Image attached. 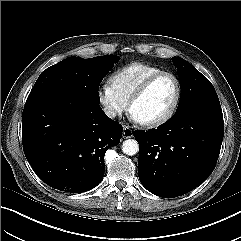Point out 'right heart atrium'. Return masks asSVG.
I'll list each match as a JSON object with an SVG mask.
<instances>
[{"mask_svg": "<svg viewBox=\"0 0 241 241\" xmlns=\"http://www.w3.org/2000/svg\"><path fill=\"white\" fill-rule=\"evenodd\" d=\"M97 97L104 113L111 119L120 117L128 109V102L118 94L111 83L102 84L98 88Z\"/></svg>", "mask_w": 241, "mask_h": 241, "instance_id": "1", "label": "right heart atrium"}]
</instances>
